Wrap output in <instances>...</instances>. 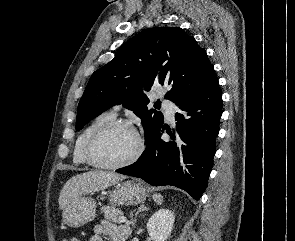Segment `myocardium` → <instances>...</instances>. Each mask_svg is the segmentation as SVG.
<instances>
[{
  "label": "myocardium",
  "instance_id": "obj_1",
  "mask_svg": "<svg viewBox=\"0 0 295 241\" xmlns=\"http://www.w3.org/2000/svg\"><path fill=\"white\" fill-rule=\"evenodd\" d=\"M115 128H126L132 131L136 137L137 140V149L134 152V154L128 158L125 161L119 162V163H106L101 161L96 156V147L99 143V141L111 130ZM145 150V142L137 128L132 125L131 123L125 121V120H118L114 119L112 121H109L103 125H101L98 129L95 130V132L91 135L89 140L87 141L86 147H85V156L88 161V163L95 168L99 169H106V170H116L121 169L127 166H130L137 162L140 157L142 156L143 152Z\"/></svg>",
  "mask_w": 295,
  "mask_h": 241
}]
</instances>
